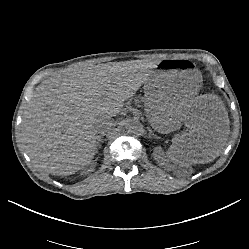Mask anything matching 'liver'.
<instances>
[{
  "mask_svg": "<svg viewBox=\"0 0 249 249\" xmlns=\"http://www.w3.org/2000/svg\"><path fill=\"white\" fill-rule=\"evenodd\" d=\"M152 73L151 68L105 64L69 67L43 80L32 92L22 118V144L34 166L60 176L84 169L97 153L96 120L118 115ZM143 103L156 133L164 135L184 126L171 139L173 152H167L174 163H209L220 155L230 126L217 96L172 102L153 92L145 94Z\"/></svg>",
  "mask_w": 249,
  "mask_h": 249,
  "instance_id": "6515ba94",
  "label": "liver"
}]
</instances>
